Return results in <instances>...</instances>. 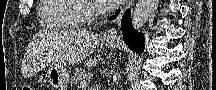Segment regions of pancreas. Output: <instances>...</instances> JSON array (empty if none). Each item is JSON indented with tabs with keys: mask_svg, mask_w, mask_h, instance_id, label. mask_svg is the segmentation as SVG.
Wrapping results in <instances>:
<instances>
[{
	"mask_svg": "<svg viewBox=\"0 0 216 90\" xmlns=\"http://www.w3.org/2000/svg\"><path fill=\"white\" fill-rule=\"evenodd\" d=\"M85 78H86L85 70H75V72H73L72 74L71 80L73 84H78L80 80H85Z\"/></svg>",
	"mask_w": 216,
	"mask_h": 90,
	"instance_id": "pancreas-1",
	"label": "pancreas"
}]
</instances>
